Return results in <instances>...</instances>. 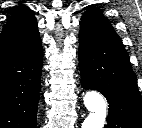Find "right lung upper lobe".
Wrapping results in <instances>:
<instances>
[{
    "label": "right lung upper lobe",
    "instance_id": "obj_1",
    "mask_svg": "<svg viewBox=\"0 0 142 128\" xmlns=\"http://www.w3.org/2000/svg\"><path fill=\"white\" fill-rule=\"evenodd\" d=\"M39 41L37 21L33 12L20 5L11 12L0 36V65L9 62L29 50Z\"/></svg>",
    "mask_w": 142,
    "mask_h": 128
}]
</instances>
